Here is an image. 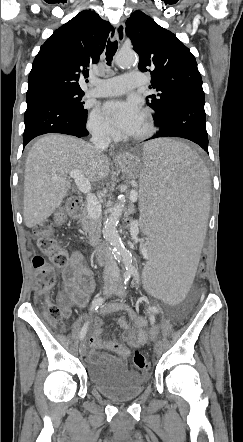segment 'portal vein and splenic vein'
I'll list each match as a JSON object with an SVG mask.
<instances>
[{
    "mask_svg": "<svg viewBox=\"0 0 243 442\" xmlns=\"http://www.w3.org/2000/svg\"><path fill=\"white\" fill-rule=\"evenodd\" d=\"M69 176L74 179L78 189L82 192L87 194V209L88 213L92 218H98L101 214V205L96 200V198L90 193L91 190V184L90 182L84 177L83 173L79 170H71L69 172ZM53 179H58L57 176L53 177ZM130 197L133 200H137L138 193L136 191L130 192Z\"/></svg>",
    "mask_w": 243,
    "mask_h": 442,
    "instance_id": "obj_1",
    "label": "portal vein and splenic vein"
}]
</instances>
